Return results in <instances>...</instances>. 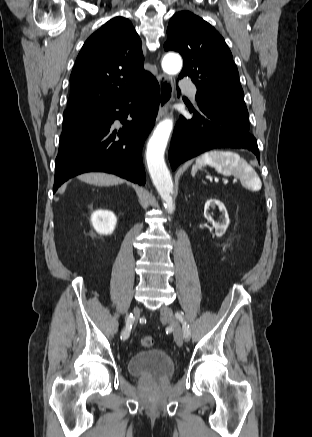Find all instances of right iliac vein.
Returning <instances> with one entry per match:
<instances>
[{"label":"right iliac vein","mask_w":312,"mask_h":437,"mask_svg":"<svg viewBox=\"0 0 312 437\" xmlns=\"http://www.w3.org/2000/svg\"><path fill=\"white\" fill-rule=\"evenodd\" d=\"M133 315H134V319L137 321L138 318H139V315H140V309H139V307H135V308L133 309Z\"/></svg>","instance_id":"obj_1"}]
</instances>
